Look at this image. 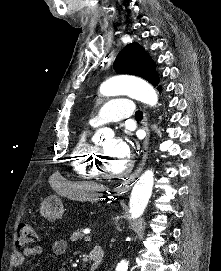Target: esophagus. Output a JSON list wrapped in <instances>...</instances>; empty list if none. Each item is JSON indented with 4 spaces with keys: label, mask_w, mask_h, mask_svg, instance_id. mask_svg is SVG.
<instances>
[{
    "label": "esophagus",
    "mask_w": 221,
    "mask_h": 271,
    "mask_svg": "<svg viewBox=\"0 0 221 271\" xmlns=\"http://www.w3.org/2000/svg\"><path fill=\"white\" fill-rule=\"evenodd\" d=\"M142 125H143V129L145 130L146 136H145V139L143 142L142 160L140 162V165L137 168V170H135L130 176H128V178L125 181H123L121 183V186L119 188L115 189V191H128L130 189L133 181L139 176V174L143 170L144 164L147 159V150H148L149 137H150L149 128L147 126V118L145 115H144Z\"/></svg>",
    "instance_id": "34e87169"
}]
</instances>
